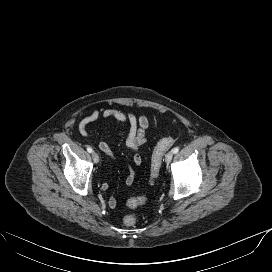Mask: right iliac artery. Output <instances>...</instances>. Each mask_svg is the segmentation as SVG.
I'll list each match as a JSON object with an SVG mask.
<instances>
[{
	"label": "right iliac artery",
	"instance_id": "1",
	"mask_svg": "<svg viewBox=\"0 0 272 272\" xmlns=\"http://www.w3.org/2000/svg\"><path fill=\"white\" fill-rule=\"evenodd\" d=\"M87 151H88L89 153H92V152H93V150H92L91 147H87Z\"/></svg>",
	"mask_w": 272,
	"mask_h": 272
}]
</instances>
